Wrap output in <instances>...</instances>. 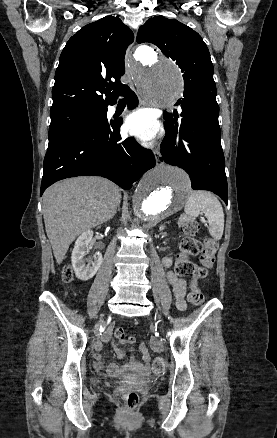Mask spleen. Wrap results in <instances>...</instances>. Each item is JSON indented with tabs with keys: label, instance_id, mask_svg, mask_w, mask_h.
I'll list each match as a JSON object with an SVG mask.
<instances>
[{
	"label": "spleen",
	"instance_id": "3e777b00",
	"mask_svg": "<svg viewBox=\"0 0 277 438\" xmlns=\"http://www.w3.org/2000/svg\"><path fill=\"white\" fill-rule=\"evenodd\" d=\"M184 212L188 216H193V218H197L203 212L208 220L210 236L214 240H221L224 230V214L216 196H213L210 192H204V190L191 192Z\"/></svg>",
	"mask_w": 277,
	"mask_h": 438
}]
</instances>
